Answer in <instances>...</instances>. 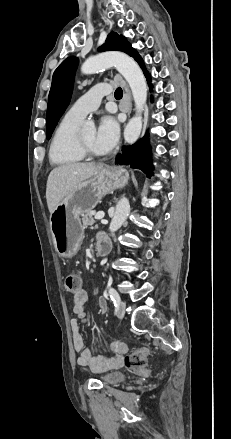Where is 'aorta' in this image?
<instances>
[{
  "label": "aorta",
  "mask_w": 231,
  "mask_h": 439,
  "mask_svg": "<svg viewBox=\"0 0 231 439\" xmlns=\"http://www.w3.org/2000/svg\"><path fill=\"white\" fill-rule=\"evenodd\" d=\"M115 67L128 82L135 102L136 114L130 119L124 130V139L133 144L137 141L142 130V112L147 100V85L145 77L139 65L130 56L123 52L111 51L88 58L81 67L83 74H92L99 70ZM86 126L94 127V123L88 121ZM130 212V204L127 198H121L116 205L114 216L109 230L117 231L125 222Z\"/></svg>",
  "instance_id": "1"
}]
</instances>
